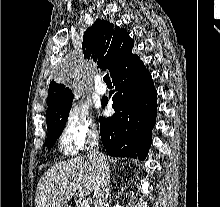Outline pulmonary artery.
Here are the masks:
<instances>
[{"label":"pulmonary artery","instance_id":"obj_1","mask_svg":"<svg viewBox=\"0 0 220 207\" xmlns=\"http://www.w3.org/2000/svg\"><path fill=\"white\" fill-rule=\"evenodd\" d=\"M95 91H96V93L103 95L107 92V88L104 84H102L100 81H98L95 85Z\"/></svg>","mask_w":220,"mask_h":207}]
</instances>
